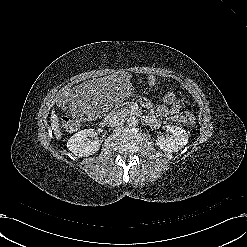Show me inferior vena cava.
I'll use <instances>...</instances> for the list:
<instances>
[{
  "label": "inferior vena cava",
  "mask_w": 247,
  "mask_h": 247,
  "mask_svg": "<svg viewBox=\"0 0 247 247\" xmlns=\"http://www.w3.org/2000/svg\"><path fill=\"white\" fill-rule=\"evenodd\" d=\"M124 123V119L116 115L115 113H112L109 116V126L110 127H115L119 126Z\"/></svg>",
  "instance_id": "1"
}]
</instances>
